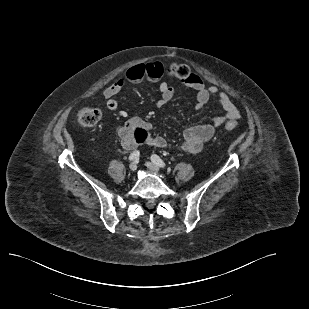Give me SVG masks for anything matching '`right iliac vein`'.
I'll return each instance as SVG.
<instances>
[{"label": "right iliac vein", "instance_id": "right-iliac-vein-1", "mask_svg": "<svg viewBox=\"0 0 309 309\" xmlns=\"http://www.w3.org/2000/svg\"><path fill=\"white\" fill-rule=\"evenodd\" d=\"M129 168H130L131 171H135V170H137V164L135 162H132L130 164Z\"/></svg>", "mask_w": 309, "mask_h": 309}]
</instances>
